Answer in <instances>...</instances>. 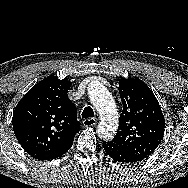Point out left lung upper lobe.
I'll use <instances>...</instances> for the list:
<instances>
[{
    "label": "left lung upper lobe",
    "instance_id": "obj_1",
    "mask_svg": "<svg viewBox=\"0 0 188 188\" xmlns=\"http://www.w3.org/2000/svg\"><path fill=\"white\" fill-rule=\"evenodd\" d=\"M119 93L123 111L112 142L146 159L164 135L165 119L161 107L142 80L120 79Z\"/></svg>",
    "mask_w": 188,
    "mask_h": 188
}]
</instances>
